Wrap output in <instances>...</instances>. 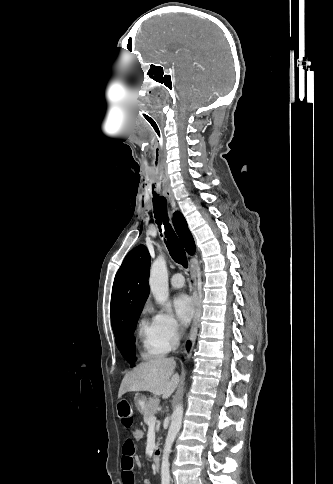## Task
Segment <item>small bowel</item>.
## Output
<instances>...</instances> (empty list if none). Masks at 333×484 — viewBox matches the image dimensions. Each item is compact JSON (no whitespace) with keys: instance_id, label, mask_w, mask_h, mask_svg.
Here are the masks:
<instances>
[{"instance_id":"small-bowel-1","label":"small bowel","mask_w":333,"mask_h":484,"mask_svg":"<svg viewBox=\"0 0 333 484\" xmlns=\"http://www.w3.org/2000/svg\"><path fill=\"white\" fill-rule=\"evenodd\" d=\"M116 411L121 426L127 431H132L135 426V415L130 400L127 398H121L117 403ZM136 463H139V459L135 453L134 442L131 438H127L123 444L121 459L123 484L135 483L133 468Z\"/></svg>"}]
</instances>
